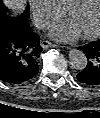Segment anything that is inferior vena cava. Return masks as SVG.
<instances>
[{
    "instance_id": "inferior-vena-cava-1",
    "label": "inferior vena cava",
    "mask_w": 100,
    "mask_h": 118,
    "mask_svg": "<svg viewBox=\"0 0 100 118\" xmlns=\"http://www.w3.org/2000/svg\"><path fill=\"white\" fill-rule=\"evenodd\" d=\"M45 24H46L45 22L40 21V22H38V23H37V26H39V27H41V28H42V27H44V26H45Z\"/></svg>"
}]
</instances>
